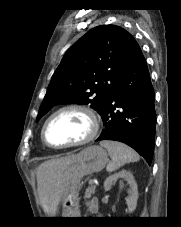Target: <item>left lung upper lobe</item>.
I'll use <instances>...</instances> for the list:
<instances>
[{
	"mask_svg": "<svg viewBox=\"0 0 181 227\" xmlns=\"http://www.w3.org/2000/svg\"><path fill=\"white\" fill-rule=\"evenodd\" d=\"M115 25L97 26L65 53L52 76L36 121L57 104H91L102 116L115 86L139 49Z\"/></svg>",
	"mask_w": 181,
	"mask_h": 227,
	"instance_id": "5c2ea615",
	"label": "left lung upper lobe"
}]
</instances>
